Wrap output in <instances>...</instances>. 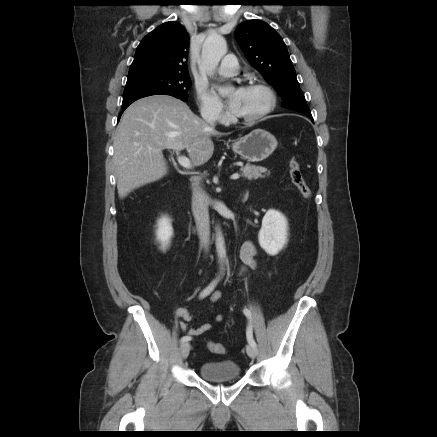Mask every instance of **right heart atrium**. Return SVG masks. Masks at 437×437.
<instances>
[{"instance_id":"obj_1","label":"right heart atrium","mask_w":437,"mask_h":437,"mask_svg":"<svg viewBox=\"0 0 437 437\" xmlns=\"http://www.w3.org/2000/svg\"><path fill=\"white\" fill-rule=\"evenodd\" d=\"M197 103L200 114L210 120H221L224 115V106L221 101L203 87L196 89Z\"/></svg>"}]
</instances>
